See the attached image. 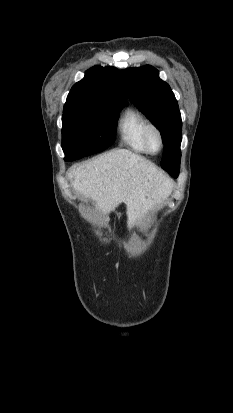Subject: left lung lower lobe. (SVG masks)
<instances>
[{"label":"left lung lower lobe","mask_w":233,"mask_h":413,"mask_svg":"<svg viewBox=\"0 0 233 413\" xmlns=\"http://www.w3.org/2000/svg\"><path fill=\"white\" fill-rule=\"evenodd\" d=\"M178 174H179V171L177 173H175L173 177L176 178L178 176Z\"/></svg>","instance_id":"obj_1"}]
</instances>
